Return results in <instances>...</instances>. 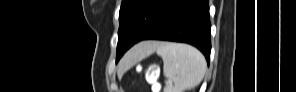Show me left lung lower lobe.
<instances>
[{"label": "left lung lower lobe", "mask_w": 296, "mask_h": 92, "mask_svg": "<svg viewBox=\"0 0 296 92\" xmlns=\"http://www.w3.org/2000/svg\"><path fill=\"white\" fill-rule=\"evenodd\" d=\"M210 29L208 0H170L159 24L143 40L191 44L205 55L209 64Z\"/></svg>", "instance_id": "left-lung-lower-lobe-1"}]
</instances>
